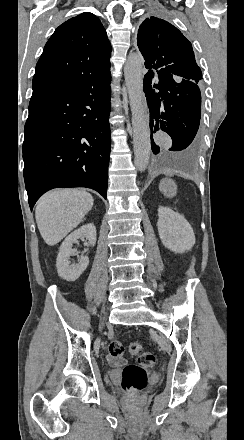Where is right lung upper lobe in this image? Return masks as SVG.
I'll return each instance as SVG.
<instances>
[{
	"label": "right lung upper lobe",
	"instance_id": "1",
	"mask_svg": "<svg viewBox=\"0 0 244 440\" xmlns=\"http://www.w3.org/2000/svg\"><path fill=\"white\" fill-rule=\"evenodd\" d=\"M111 45L100 20L85 12L60 25L36 65L33 90L110 68Z\"/></svg>",
	"mask_w": 244,
	"mask_h": 440
}]
</instances>
